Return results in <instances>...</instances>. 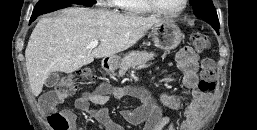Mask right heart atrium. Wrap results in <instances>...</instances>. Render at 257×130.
<instances>
[{
  "mask_svg": "<svg viewBox=\"0 0 257 130\" xmlns=\"http://www.w3.org/2000/svg\"><path fill=\"white\" fill-rule=\"evenodd\" d=\"M100 3L104 6H113L114 5V0H99Z\"/></svg>",
  "mask_w": 257,
  "mask_h": 130,
  "instance_id": "right-heart-atrium-1",
  "label": "right heart atrium"
}]
</instances>
